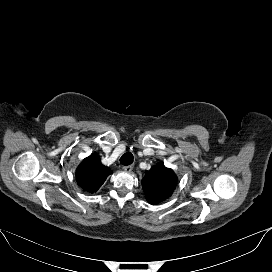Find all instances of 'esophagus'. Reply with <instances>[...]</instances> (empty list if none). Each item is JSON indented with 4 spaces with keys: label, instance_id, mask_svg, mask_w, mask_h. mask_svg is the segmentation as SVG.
Returning <instances> with one entry per match:
<instances>
[{
    "label": "esophagus",
    "instance_id": "esophagus-1",
    "mask_svg": "<svg viewBox=\"0 0 272 272\" xmlns=\"http://www.w3.org/2000/svg\"><path fill=\"white\" fill-rule=\"evenodd\" d=\"M123 169L125 172L129 173L133 170V165L124 166Z\"/></svg>",
    "mask_w": 272,
    "mask_h": 272
}]
</instances>
